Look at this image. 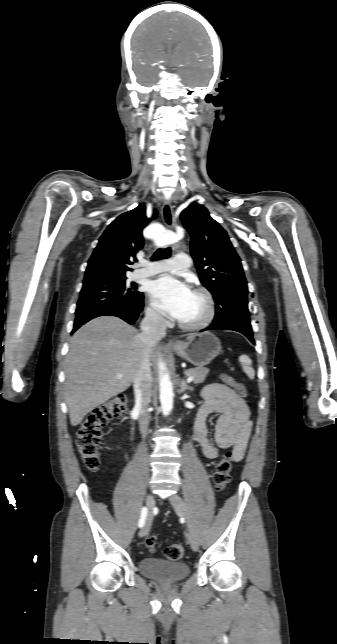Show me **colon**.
<instances>
[{
  "mask_svg": "<svg viewBox=\"0 0 337 644\" xmlns=\"http://www.w3.org/2000/svg\"><path fill=\"white\" fill-rule=\"evenodd\" d=\"M222 380L230 387L239 392L242 396L246 395L245 386L236 381L227 373L221 374ZM127 408V398L125 395H117L107 402L94 408L80 424L77 436L76 447L80 453L86 467L95 471L100 465V449L102 439V429L106 423L125 412ZM232 466V454L226 453L218 462L213 474V480L218 491H223L230 482V471ZM156 537L151 535L146 540L149 549H154ZM184 554L183 546L180 544H171L164 550V555L168 560L177 561Z\"/></svg>",
  "mask_w": 337,
  "mask_h": 644,
  "instance_id": "5ec220e1",
  "label": "colon"
}]
</instances>
